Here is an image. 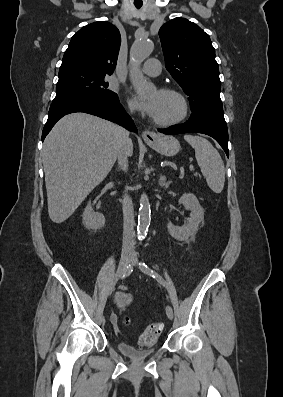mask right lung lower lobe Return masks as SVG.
<instances>
[{
  "mask_svg": "<svg viewBox=\"0 0 283 397\" xmlns=\"http://www.w3.org/2000/svg\"><path fill=\"white\" fill-rule=\"evenodd\" d=\"M74 112L96 115L124 126L130 131L137 132L133 121L119 102L109 103L97 98L73 95L53 100L49 109L48 120L42 132V141L60 118Z\"/></svg>",
  "mask_w": 283,
  "mask_h": 397,
  "instance_id": "right-lung-lower-lobe-1",
  "label": "right lung lower lobe"
}]
</instances>
